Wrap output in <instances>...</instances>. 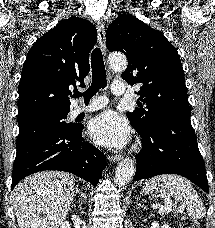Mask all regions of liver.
Segmentation results:
<instances>
[{"mask_svg":"<svg viewBox=\"0 0 215 228\" xmlns=\"http://www.w3.org/2000/svg\"><path fill=\"white\" fill-rule=\"evenodd\" d=\"M75 178L67 172H38L12 192L19 228H60L75 196Z\"/></svg>","mask_w":215,"mask_h":228,"instance_id":"6515ba94","label":"liver"}]
</instances>
